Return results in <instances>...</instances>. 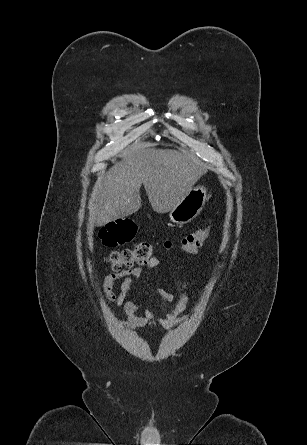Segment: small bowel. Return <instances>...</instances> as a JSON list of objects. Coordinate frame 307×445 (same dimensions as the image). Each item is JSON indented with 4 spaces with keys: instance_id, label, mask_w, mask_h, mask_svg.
I'll use <instances>...</instances> for the list:
<instances>
[{
    "instance_id": "c3829d8e",
    "label": "small bowel",
    "mask_w": 307,
    "mask_h": 445,
    "mask_svg": "<svg viewBox=\"0 0 307 445\" xmlns=\"http://www.w3.org/2000/svg\"><path fill=\"white\" fill-rule=\"evenodd\" d=\"M160 261L157 258H152L148 264L147 269H152L159 266ZM117 281H121V292L116 295L113 291L114 285ZM136 281H141L147 290L162 299L167 305L165 317L158 321V323L165 329L176 326L179 322L180 314L186 309L189 294L187 292V284L182 283V293L175 304H173V295L163 289L154 287L145 278L144 270L141 268H129L118 272L107 274L103 279V289L106 294V299L118 307H122L127 319L125 324L131 328H143L152 321H154L153 309L146 306L144 303L126 300L132 285ZM142 313L140 316L139 314Z\"/></svg>"
}]
</instances>
